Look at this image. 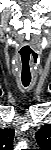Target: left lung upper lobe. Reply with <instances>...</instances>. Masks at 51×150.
Returning <instances> with one entry per match:
<instances>
[{
    "label": "left lung upper lobe",
    "mask_w": 51,
    "mask_h": 150,
    "mask_svg": "<svg viewBox=\"0 0 51 150\" xmlns=\"http://www.w3.org/2000/svg\"><path fill=\"white\" fill-rule=\"evenodd\" d=\"M36 141L41 150H47L51 147V124H46L35 134Z\"/></svg>",
    "instance_id": "left-lung-upper-lobe-1"
}]
</instances>
